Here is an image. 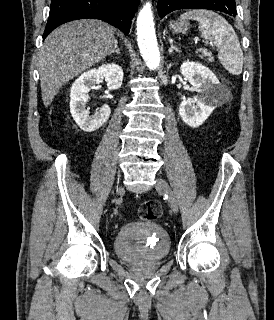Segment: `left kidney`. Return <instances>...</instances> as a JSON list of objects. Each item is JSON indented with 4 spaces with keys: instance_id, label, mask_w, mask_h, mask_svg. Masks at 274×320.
Listing matches in <instances>:
<instances>
[{
    "instance_id": "left-kidney-1",
    "label": "left kidney",
    "mask_w": 274,
    "mask_h": 320,
    "mask_svg": "<svg viewBox=\"0 0 274 320\" xmlns=\"http://www.w3.org/2000/svg\"><path fill=\"white\" fill-rule=\"evenodd\" d=\"M180 72L198 92V96H195V100L181 102L179 114L187 126L199 128L215 108L224 104L226 92L215 74L198 62H184Z\"/></svg>"
}]
</instances>
